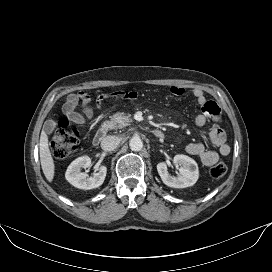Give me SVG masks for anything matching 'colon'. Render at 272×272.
<instances>
[{
    "label": "colon",
    "instance_id": "1",
    "mask_svg": "<svg viewBox=\"0 0 272 272\" xmlns=\"http://www.w3.org/2000/svg\"><path fill=\"white\" fill-rule=\"evenodd\" d=\"M78 142L79 133L70 128L67 118H63L59 121L58 129L51 137L50 151L55 158L64 159L75 152ZM209 172L213 178H221L227 172V165L222 161L216 162Z\"/></svg>",
    "mask_w": 272,
    "mask_h": 272
}]
</instances>
